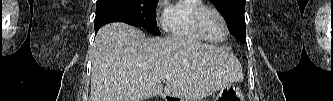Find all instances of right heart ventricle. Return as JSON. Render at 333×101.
<instances>
[{
  "instance_id": "e07e8e85",
  "label": "right heart ventricle",
  "mask_w": 333,
  "mask_h": 101,
  "mask_svg": "<svg viewBox=\"0 0 333 101\" xmlns=\"http://www.w3.org/2000/svg\"><path fill=\"white\" fill-rule=\"evenodd\" d=\"M202 5L199 0H178L167 9L165 28L176 38L196 42H204L203 37L194 27L192 15L194 10Z\"/></svg>"
}]
</instances>
